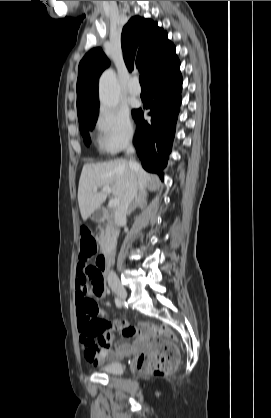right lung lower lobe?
<instances>
[{"mask_svg":"<svg viewBox=\"0 0 271 418\" xmlns=\"http://www.w3.org/2000/svg\"><path fill=\"white\" fill-rule=\"evenodd\" d=\"M151 121L143 119V111L134 110L136 121L134 145L142 166L163 178V169L172 148L177 115L181 103L182 76L180 62L175 60L146 81Z\"/></svg>","mask_w":271,"mask_h":418,"instance_id":"obj_1","label":"right lung lower lobe"}]
</instances>
